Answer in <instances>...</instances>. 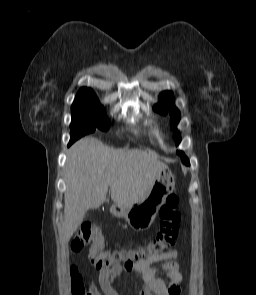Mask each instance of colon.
Instances as JSON below:
<instances>
[{"label":"colon","instance_id":"obj_1","mask_svg":"<svg viewBox=\"0 0 256 295\" xmlns=\"http://www.w3.org/2000/svg\"><path fill=\"white\" fill-rule=\"evenodd\" d=\"M179 199L176 195H169L165 204L159 210V231L147 243L129 251L104 250V237L99 227L91 223H83L74 235L71 244V253H78L85 248L89 251V260L97 269H110L116 265L126 268L134 262L159 257L169 251L175 244L180 213L178 211ZM70 283L72 295H94L86 289L83 278L77 267L70 270Z\"/></svg>","mask_w":256,"mask_h":295}]
</instances>
